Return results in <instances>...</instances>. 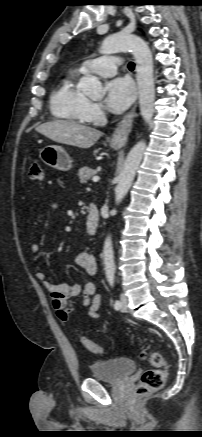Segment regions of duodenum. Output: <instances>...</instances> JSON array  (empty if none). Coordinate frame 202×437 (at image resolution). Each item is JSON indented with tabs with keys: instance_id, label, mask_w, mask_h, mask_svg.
I'll use <instances>...</instances> for the list:
<instances>
[{
	"instance_id": "410a0bca",
	"label": "duodenum",
	"mask_w": 202,
	"mask_h": 437,
	"mask_svg": "<svg viewBox=\"0 0 202 437\" xmlns=\"http://www.w3.org/2000/svg\"><path fill=\"white\" fill-rule=\"evenodd\" d=\"M100 214L98 206L95 203L89 204L88 216L86 221V230L88 234L94 235L98 229Z\"/></svg>"
}]
</instances>
